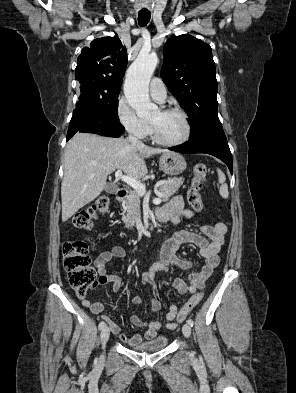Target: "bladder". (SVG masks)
<instances>
[{
    "label": "bladder",
    "mask_w": 296,
    "mask_h": 393,
    "mask_svg": "<svg viewBox=\"0 0 296 393\" xmlns=\"http://www.w3.org/2000/svg\"><path fill=\"white\" fill-rule=\"evenodd\" d=\"M167 344L168 338L166 336H158L144 344L130 346V348L138 352H156L164 349Z\"/></svg>",
    "instance_id": "31cf9c89"
}]
</instances>
